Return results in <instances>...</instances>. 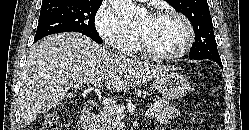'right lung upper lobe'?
I'll list each match as a JSON object with an SVG mask.
<instances>
[{"label": "right lung upper lobe", "instance_id": "right-lung-upper-lobe-1", "mask_svg": "<svg viewBox=\"0 0 249 130\" xmlns=\"http://www.w3.org/2000/svg\"><path fill=\"white\" fill-rule=\"evenodd\" d=\"M56 1H60V0H44V1L42 2V5H43V4L53 3V2H56ZM84 1L102 2V0H84Z\"/></svg>", "mask_w": 249, "mask_h": 130}]
</instances>
